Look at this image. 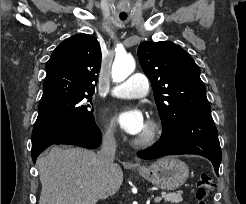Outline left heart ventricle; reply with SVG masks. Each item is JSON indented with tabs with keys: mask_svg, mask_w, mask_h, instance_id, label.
<instances>
[{
	"mask_svg": "<svg viewBox=\"0 0 246 204\" xmlns=\"http://www.w3.org/2000/svg\"><path fill=\"white\" fill-rule=\"evenodd\" d=\"M146 131H147V125H146V127L144 128V130L141 132V134H139V136H140V135H143Z\"/></svg>",
	"mask_w": 246,
	"mask_h": 204,
	"instance_id": "obj_1",
	"label": "left heart ventricle"
}]
</instances>
